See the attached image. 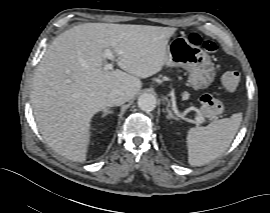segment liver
Wrapping results in <instances>:
<instances>
[{
  "mask_svg": "<svg viewBox=\"0 0 270 213\" xmlns=\"http://www.w3.org/2000/svg\"><path fill=\"white\" fill-rule=\"evenodd\" d=\"M176 28L85 23L60 34L41 59L32 83L31 104L46 143L74 162L86 160L92 117L109 107L113 90L127 101L141 89L139 78L160 72ZM105 49L123 69L104 70Z\"/></svg>",
  "mask_w": 270,
  "mask_h": 213,
  "instance_id": "6515ba94",
  "label": "liver"
}]
</instances>
